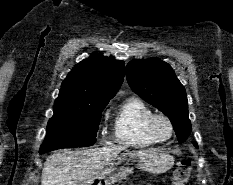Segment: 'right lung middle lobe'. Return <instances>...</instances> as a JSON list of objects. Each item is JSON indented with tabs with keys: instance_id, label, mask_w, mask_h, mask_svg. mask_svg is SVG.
<instances>
[{
	"instance_id": "dd1d6c3e",
	"label": "right lung middle lobe",
	"mask_w": 233,
	"mask_h": 185,
	"mask_svg": "<svg viewBox=\"0 0 233 185\" xmlns=\"http://www.w3.org/2000/svg\"><path fill=\"white\" fill-rule=\"evenodd\" d=\"M108 102L82 103L56 99L54 115L48 122L47 135L39 153L93 145L101 113Z\"/></svg>"
}]
</instances>
